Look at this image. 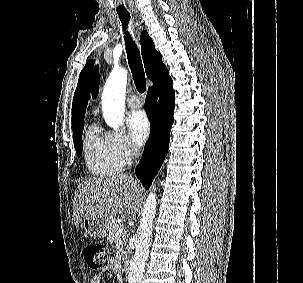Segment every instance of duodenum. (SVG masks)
Returning a JSON list of instances; mask_svg holds the SVG:
<instances>
[{"mask_svg":"<svg viewBox=\"0 0 303 283\" xmlns=\"http://www.w3.org/2000/svg\"><path fill=\"white\" fill-rule=\"evenodd\" d=\"M122 271H123L125 277H129L130 271H131L130 264L129 263H125L123 265Z\"/></svg>","mask_w":303,"mask_h":283,"instance_id":"1","label":"duodenum"}]
</instances>
